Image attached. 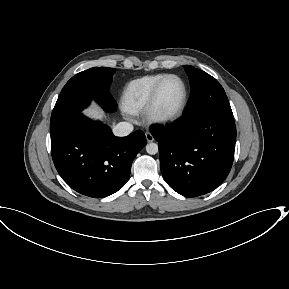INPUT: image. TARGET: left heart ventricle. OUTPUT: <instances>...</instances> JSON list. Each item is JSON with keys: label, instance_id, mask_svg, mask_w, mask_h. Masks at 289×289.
Wrapping results in <instances>:
<instances>
[{"label": "left heart ventricle", "instance_id": "b2bd125f", "mask_svg": "<svg viewBox=\"0 0 289 289\" xmlns=\"http://www.w3.org/2000/svg\"><path fill=\"white\" fill-rule=\"evenodd\" d=\"M183 98V85L177 79H169L162 87L158 107L164 113L174 111Z\"/></svg>", "mask_w": 289, "mask_h": 289}]
</instances>
